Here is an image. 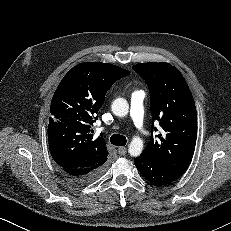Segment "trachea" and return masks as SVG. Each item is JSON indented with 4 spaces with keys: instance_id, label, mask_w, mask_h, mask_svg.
Instances as JSON below:
<instances>
[{
    "instance_id": "3493384b",
    "label": "trachea",
    "mask_w": 231,
    "mask_h": 231,
    "mask_svg": "<svg viewBox=\"0 0 231 231\" xmlns=\"http://www.w3.org/2000/svg\"><path fill=\"white\" fill-rule=\"evenodd\" d=\"M110 142L113 144V145H116V146H125L126 143H127V139L125 136L123 135H120V134H113L111 137H110Z\"/></svg>"
}]
</instances>
